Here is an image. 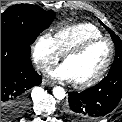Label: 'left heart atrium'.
<instances>
[{"instance_id":"39dd6f15","label":"left heart atrium","mask_w":122,"mask_h":122,"mask_svg":"<svg viewBox=\"0 0 122 122\" xmlns=\"http://www.w3.org/2000/svg\"><path fill=\"white\" fill-rule=\"evenodd\" d=\"M50 76L60 80L72 81L70 72L65 64L50 71Z\"/></svg>"}]
</instances>
